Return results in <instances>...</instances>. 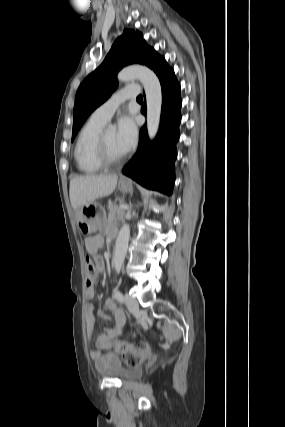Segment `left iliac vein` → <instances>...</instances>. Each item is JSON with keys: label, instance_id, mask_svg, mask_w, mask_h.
<instances>
[{"label": "left iliac vein", "instance_id": "obj_1", "mask_svg": "<svg viewBox=\"0 0 285 427\" xmlns=\"http://www.w3.org/2000/svg\"><path fill=\"white\" fill-rule=\"evenodd\" d=\"M125 302H126V306L128 308V310L130 312H136L139 309V303L138 301L129 295H125Z\"/></svg>", "mask_w": 285, "mask_h": 427}]
</instances>
